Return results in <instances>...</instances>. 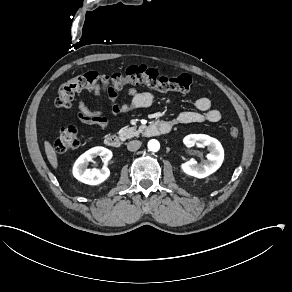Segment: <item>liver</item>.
<instances>
[{
  "instance_id": "6515ba94",
  "label": "liver",
  "mask_w": 292,
  "mask_h": 292,
  "mask_svg": "<svg viewBox=\"0 0 292 292\" xmlns=\"http://www.w3.org/2000/svg\"><path fill=\"white\" fill-rule=\"evenodd\" d=\"M44 146H45V152L50 164L52 165L53 168L56 169L58 166V162H57V156H56L54 148L51 146V144L48 141L44 142Z\"/></svg>"
}]
</instances>
